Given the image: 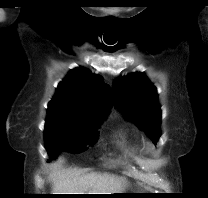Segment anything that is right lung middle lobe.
Returning a JSON list of instances; mask_svg holds the SVG:
<instances>
[{
    "label": "right lung middle lobe",
    "mask_w": 208,
    "mask_h": 198,
    "mask_svg": "<svg viewBox=\"0 0 208 198\" xmlns=\"http://www.w3.org/2000/svg\"><path fill=\"white\" fill-rule=\"evenodd\" d=\"M102 120L71 114H48L44 134L49 157L54 158L61 151L84 152L97 141L96 129Z\"/></svg>",
    "instance_id": "dd1d6c3e"
}]
</instances>
